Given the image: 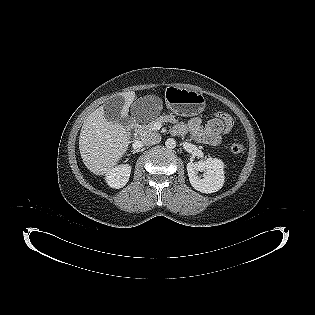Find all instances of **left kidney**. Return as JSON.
<instances>
[{
    "label": "left kidney",
    "mask_w": 315,
    "mask_h": 315,
    "mask_svg": "<svg viewBox=\"0 0 315 315\" xmlns=\"http://www.w3.org/2000/svg\"><path fill=\"white\" fill-rule=\"evenodd\" d=\"M202 171L203 176H198V173ZM187 172L192 187L202 193L216 192L224 184V163L217 158L189 162Z\"/></svg>",
    "instance_id": "left-kidney-1"
}]
</instances>
